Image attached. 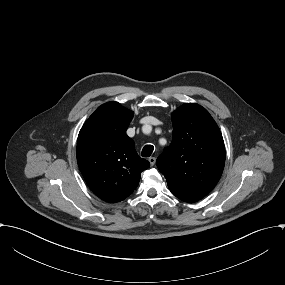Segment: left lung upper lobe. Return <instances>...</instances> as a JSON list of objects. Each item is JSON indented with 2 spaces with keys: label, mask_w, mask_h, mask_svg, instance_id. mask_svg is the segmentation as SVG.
Segmentation results:
<instances>
[{
  "label": "left lung upper lobe",
  "mask_w": 285,
  "mask_h": 285,
  "mask_svg": "<svg viewBox=\"0 0 285 285\" xmlns=\"http://www.w3.org/2000/svg\"><path fill=\"white\" fill-rule=\"evenodd\" d=\"M172 123V142L156 165L176 197L195 202L221 177L225 164L223 137L208 111L198 104L179 107L172 114Z\"/></svg>",
  "instance_id": "1"
}]
</instances>
